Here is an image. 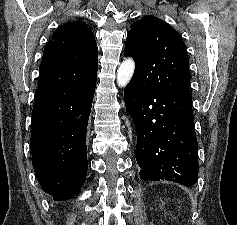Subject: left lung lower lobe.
Wrapping results in <instances>:
<instances>
[{
  "instance_id": "1",
  "label": "left lung lower lobe",
  "mask_w": 237,
  "mask_h": 225,
  "mask_svg": "<svg viewBox=\"0 0 237 225\" xmlns=\"http://www.w3.org/2000/svg\"><path fill=\"white\" fill-rule=\"evenodd\" d=\"M124 100L137 131L140 178L194 185L198 146L191 94L143 89L131 79Z\"/></svg>"
}]
</instances>
